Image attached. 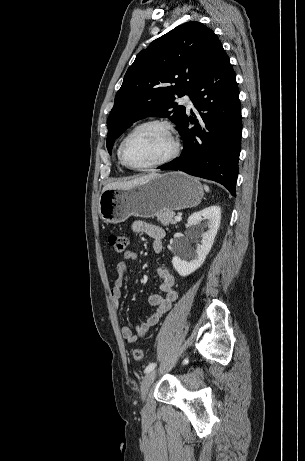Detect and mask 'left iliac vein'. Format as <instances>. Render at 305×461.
<instances>
[{"label":"left iliac vein","instance_id":"4c4485c4","mask_svg":"<svg viewBox=\"0 0 305 461\" xmlns=\"http://www.w3.org/2000/svg\"><path fill=\"white\" fill-rule=\"evenodd\" d=\"M155 377H156V370H152L149 373H147L145 377L143 378V380L141 381L140 394H141L142 400H145L147 392L150 386L152 385V383L154 382Z\"/></svg>","mask_w":305,"mask_h":461}]
</instances>
